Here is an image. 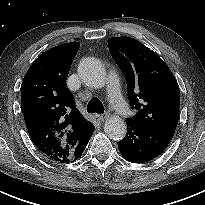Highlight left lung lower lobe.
Here are the masks:
<instances>
[{
    "instance_id": "left-lung-lower-lobe-1",
    "label": "left lung lower lobe",
    "mask_w": 205,
    "mask_h": 205,
    "mask_svg": "<svg viewBox=\"0 0 205 205\" xmlns=\"http://www.w3.org/2000/svg\"><path fill=\"white\" fill-rule=\"evenodd\" d=\"M127 134L118 142V148L125 160L132 163L150 161L167 148L174 131L156 129L126 121Z\"/></svg>"
}]
</instances>
